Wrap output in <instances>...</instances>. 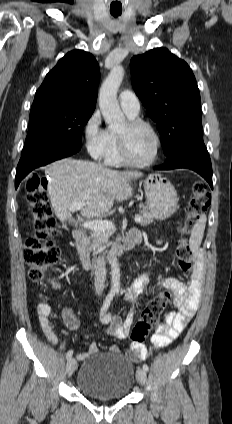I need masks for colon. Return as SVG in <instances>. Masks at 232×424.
Returning <instances> with one entry per match:
<instances>
[{
    "label": "colon",
    "mask_w": 232,
    "mask_h": 424,
    "mask_svg": "<svg viewBox=\"0 0 232 424\" xmlns=\"http://www.w3.org/2000/svg\"><path fill=\"white\" fill-rule=\"evenodd\" d=\"M46 184V179L38 174L32 175L26 184V198L33 217L34 232L25 242L23 256L28 266L29 278L36 284L42 283L46 273L53 268L59 258L58 248L53 241L58 235V229L48 201ZM209 200L205 186L200 182L194 183L192 198L181 225L184 236L180 239L176 250L178 267L182 272H187L192 267V249L186 234L193 229L200 215L205 212ZM174 295V290L167 288L149 301L131 331V344H143Z\"/></svg>",
    "instance_id": "colon-1"
}]
</instances>
